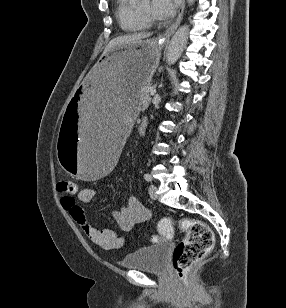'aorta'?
I'll return each instance as SVG.
<instances>
[{
    "label": "aorta",
    "mask_w": 286,
    "mask_h": 308,
    "mask_svg": "<svg viewBox=\"0 0 286 308\" xmlns=\"http://www.w3.org/2000/svg\"><path fill=\"white\" fill-rule=\"evenodd\" d=\"M189 5H192L195 0H187ZM188 34H189V27L188 25H183L178 28V30L173 35L169 46L166 51V62L169 65H173L176 63V61L180 58L187 40H188Z\"/></svg>",
    "instance_id": "obj_1"
}]
</instances>
